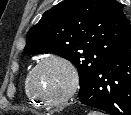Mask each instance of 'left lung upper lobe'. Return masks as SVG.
<instances>
[{"instance_id": "left-lung-upper-lobe-1", "label": "left lung upper lobe", "mask_w": 131, "mask_h": 115, "mask_svg": "<svg viewBox=\"0 0 131 115\" xmlns=\"http://www.w3.org/2000/svg\"><path fill=\"white\" fill-rule=\"evenodd\" d=\"M130 34L117 1L64 0L29 30L25 51L54 53L71 61L78 69L81 93Z\"/></svg>"}]
</instances>
